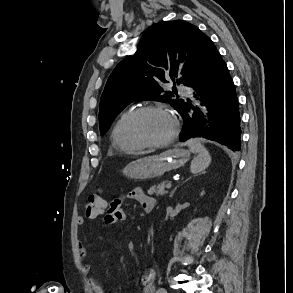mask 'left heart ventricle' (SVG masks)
I'll return each instance as SVG.
<instances>
[{"instance_id": "left-heart-ventricle-1", "label": "left heart ventricle", "mask_w": 293, "mask_h": 293, "mask_svg": "<svg viewBox=\"0 0 293 293\" xmlns=\"http://www.w3.org/2000/svg\"><path fill=\"white\" fill-rule=\"evenodd\" d=\"M172 129L170 117L161 111L145 114L138 124L140 135L149 142L164 140L171 134Z\"/></svg>"}]
</instances>
